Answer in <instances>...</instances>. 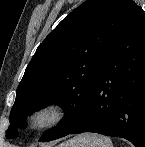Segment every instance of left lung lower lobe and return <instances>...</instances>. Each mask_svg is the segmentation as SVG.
Instances as JSON below:
<instances>
[{
    "label": "left lung lower lobe",
    "mask_w": 145,
    "mask_h": 147,
    "mask_svg": "<svg viewBox=\"0 0 145 147\" xmlns=\"http://www.w3.org/2000/svg\"><path fill=\"white\" fill-rule=\"evenodd\" d=\"M82 132L145 147V14L133 1L80 121L48 141Z\"/></svg>",
    "instance_id": "left-lung-lower-lobe-1"
}]
</instances>
